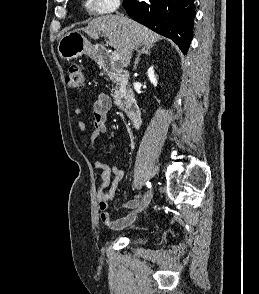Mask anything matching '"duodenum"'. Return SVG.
Masks as SVG:
<instances>
[{"label": "duodenum", "mask_w": 259, "mask_h": 294, "mask_svg": "<svg viewBox=\"0 0 259 294\" xmlns=\"http://www.w3.org/2000/svg\"><path fill=\"white\" fill-rule=\"evenodd\" d=\"M96 58L102 65L103 69L107 73L115 76L119 81L125 82L129 78V73L118 68L117 65L111 60L109 55L104 51L97 50ZM123 112L126 118L135 128H138L141 125L142 119L140 109L134 93L130 90L123 94Z\"/></svg>", "instance_id": "410a0bca"}]
</instances>
